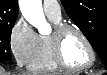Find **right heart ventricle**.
Wrapping results in <instances>:
<instances>
[{"label":"right heart ventricle","instance_id":"right-heart-ventricle-1","mask_svg":"<svg viewBox=\"0 0 107 75\" xmlns=\"http://www.w3.org/2000/svg\"><path fill=\"white\" fill-rule=\"evenodd\" d=\"M48 18L55 26L61 24V19L49 16ZM28 67L31 71L35 72H53L59 70L60 67L53 59L51 35H38L35 52Z\"/></svg>","mask_w":107,"mask_h":75}]
</instances>
